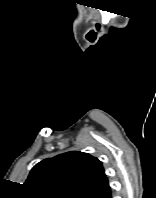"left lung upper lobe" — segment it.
Here are the masks:
<instances>
[{"label": "left lung upper lobe", "instance_id": "1", "mask_svg": "<svg viewBox=\"0 0 156 198\" xmlns=\"http://www.w3.org/2000/svg\"><path fill=\"white\" fill-rule=\"evenodd\" d=\"M24 184L31 198H95L109 186L101 161L79 151L44 159Z\"/></svg>", "mask_w": 156, "mask_h": 198}]
</instances>
